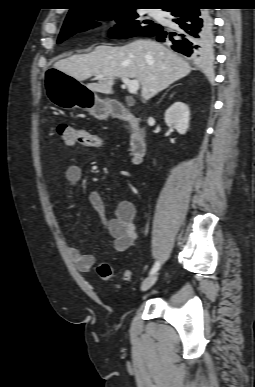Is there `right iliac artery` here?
Returning <instances> with one entry per match:
<instances>
[{
    "mask_svg": "<svg viewBox=\"0 0 255 387\" xmlns=\"http://www.w3.org/2000/svg\"><path fill=\"white\" fill-rule=\"evenodd\" d=\"M159 267H160V263H159V261H156L155 264L153 265L151 271H150V275L155 274L158 271Z\"/></svg>",
    "mask_w": 255,
    "mask_h": 387,
    "instance_id": "right-iliac-artery-1",
    "label": "right iliac artery"
}]
</instances>
